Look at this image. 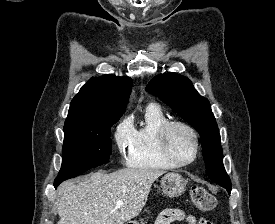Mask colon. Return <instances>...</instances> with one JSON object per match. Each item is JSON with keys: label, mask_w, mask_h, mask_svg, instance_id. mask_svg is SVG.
I'll list each match as a JSON object with an SVG mask.
<instances>
[{"label": "colon", "mask_w": 275, "mask_h": 224, "mask_svg": "<svg viewBox=\"0 0 275 224\" xmlns=\"http://www.w3.org/2000/svg\"><path fill=\"white\" fill-rule=\"evenodd\" d=\"M193 206L202 212H208L216 206V198L213 194L201 187H193L190 191Z\"/></svg>", "instance_id": "5ec220e1"}]
</instances>
